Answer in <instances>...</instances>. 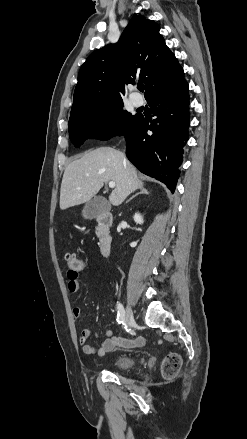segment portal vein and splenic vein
I'll return each instance as SVG.
<instances>
[{
  "mask_svg": "<svg viewBox=\"0 0 247 439\" xmlns=\"http://www.w3.org/2000/svg\"><path fill=\"white\" fill-rule=\"evenodd\" d=\"M109 187L110 188H115V182H113V181L109 182Z\"/></svg>",
  "mask_w": 247,
  "mask_h": 439,
  "instance_id": "1",
  "label": "portal vein and splenic vein"
}]
</instances>
